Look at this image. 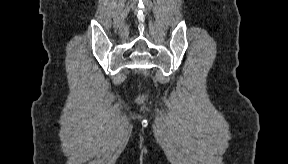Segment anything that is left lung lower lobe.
<instances>
[{"label":"left lung lower lobe","mask_w":288,"mask_h":164,"mask_svg":"<svg viewBox=\"0 0 288 164\" xmlns=\"http://www.w3.org/2000/svg\"><path fill=\"white\" fill-rule=\"evenodd\" d=\"M247 82L250 83L251 80H257V87L262 90L266 84V76L262 72L251 73L250 75L246 76ZM257 90L255 89L253 94H256Z\"/></svg>","instance_id":"obj_1"}]
</instances>
